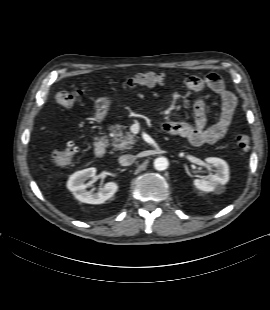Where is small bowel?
I'll return each mask as SVG.
<instances>
[{
	"label": "small bowel",
	"instance_id": "obj_1",
	"mask_svg": "<svg viewBox=\"0 0 270 310\" xmlns=\"http://www.w3.org/2000/svg\"><path fill=\"white\" fill-rule=\"evenodd\" d=\"M185 86L197 95L194 105V122L190 124L169 121L164 124V130L167 133L186 138L193 146L215 144L226 135L232 123L236 108L234 94L227 89L223 79L216 73H209L204 78L189 76L185 79ZM205 89H210L221 101L219 117L210 126L206 124L205 106L202 97V92Z\"/></svg>",
	"mask_w": 270,
	"mask_h": 310
}]
</instances>
